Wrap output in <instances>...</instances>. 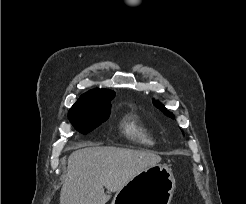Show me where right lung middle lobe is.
I'll list each match as a JSON object with an SVG mask.
<instances>
[{
	"instance_id": "obj_1",
	"label": "right lung middle lobe",
	"mask_w": 246,
	"mask_h": 204,
	"mask_svg": "<svg viewBox=\"0 0 246 204\" xmlns=\"http://www.w3.org/2000/svg\"><path fill=\"white\" fill-rule=\"evenodd\" d=\"M113 98H99L84 106L71 108L68 113L71 123L80 133H89L109 118Z\"/></svg>"
}]
</instances>
